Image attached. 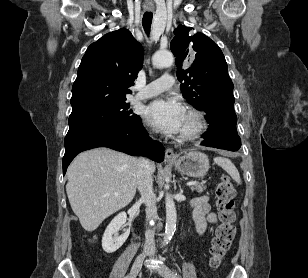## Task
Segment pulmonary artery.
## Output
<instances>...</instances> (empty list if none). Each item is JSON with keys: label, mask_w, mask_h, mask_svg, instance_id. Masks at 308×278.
<instances>
[{"label": "pulmonary artery", "mask_w": 308, "mask_h": 278, "mask_svg": "<svg viewBox=\"0 0 308 278\" xmlns=\"http://www.w3.org/2000/svg\"><path fill=\"white\" fill-rule=\"evenodd\" d=\"M173 84H174L173 77L171 75L165 74L159 79L141 88L135 95L134 100L139 101L152 98L166 90L171 89Z\"/></svg>", "instance_id": "e3ab8cb5"}]
</instances>
